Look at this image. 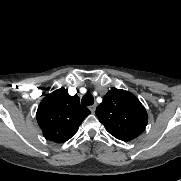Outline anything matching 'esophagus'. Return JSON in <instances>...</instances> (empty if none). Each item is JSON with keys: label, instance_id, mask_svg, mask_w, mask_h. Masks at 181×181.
Segmentation results:
<instances>
[{"label": "esophagus", "instance_id": "esophagus-1", "mask_svg": "<svg viewBox=\"0 0 181 181\" xmlns=\"http://www.w3.org/2000/svg\"><path fill=\"white\" fill-rule=\"evenodd\" d=\"M96 107H97V105H96V104H93V105L89 106V109H90V111H91L92 113H94L95 110H96Z\"/></svg>", "mask_w": 181, "mask_h": 181}]
</instances>
